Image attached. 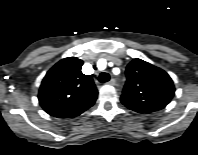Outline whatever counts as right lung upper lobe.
<instances>
[{
	"mask_svg": "<svg viewBox=\"0 0 198 155\" xmlns=\"http://www.w3.org/2000/svg\"><path fill=\"white\" fill-rule=\"evenodd\" d=\"M82 65V60L68 57L47 72L38 99L49 115L58 118L75 117L95 103L98 91L92 76L82 73Z\"/></svg>",
	"mask_w": 198,
	"mask_h": 155,
	"instance_id": "cb5924a9",
	"label": "right lung upper lobe"
}]
</instances>
